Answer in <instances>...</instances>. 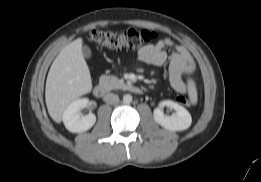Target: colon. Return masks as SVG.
Instances as JSON below:
<instances>
[{
	"label": "colon",
	"mask_w": 261,
	"mask_h": 182,
	"mask_svg": "<svg viewBox=\"0 0 261 182\" xmlns=\"http://www.w3.org/2000/svg\"><path fill=\"white\" fill-rule=\"evenodd\" d=\"M158 37L157 32L145 29H127L123 31L92 30L87 33V41L92 44L114 49L137 50L145 47ZM178 100L188 104V100L180 96Z\"/></svg>",
	"instance_id": "1"
}]
</instances>
